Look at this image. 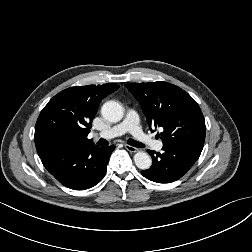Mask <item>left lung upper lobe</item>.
Returning a JSON list of instances; mask_svg holds the SVG:
<instances>
[{
	"label": "left lung upper lobe",
	"instance_id": "obj_1",
	"mask_svg": "<svg viewBox=\"0 0 252 252\" xmlns=\"http://www.w3.org/2000/svg\"><path fill=\"white\" fill-rule=\"evenodd\" d=\"M138 100L149 124L163 127V146L202 151L206 126L198 104L181 88L167 82L125 85Z\"/></svg>",
	"mask_w": 252,
	"mask_h": 252
}]
</instances>
